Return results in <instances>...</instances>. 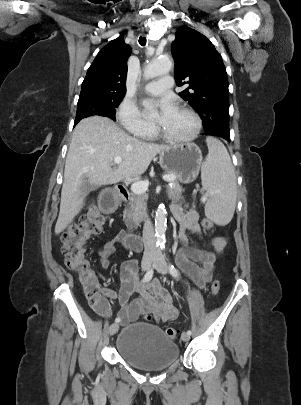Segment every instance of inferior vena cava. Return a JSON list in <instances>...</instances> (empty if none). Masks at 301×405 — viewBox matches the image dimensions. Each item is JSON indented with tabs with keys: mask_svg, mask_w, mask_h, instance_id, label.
<instances>
[{
	"mask_svg": "<svg viewBox=\"0 0 301 405\" xmlns=\"http://www.w3.org/2000/svg\"><path fill=\"white\" fill-rule=\"evenodd\" d=\"M144 254H154L157 252L154 228L149 218H146L143 226Z\"/></svg>",
	"mask_w": 301,
	"mask_h": 405,
	"instance_id": "obj_1",
	"label": "inferior vena cava"
}]
</instances>
